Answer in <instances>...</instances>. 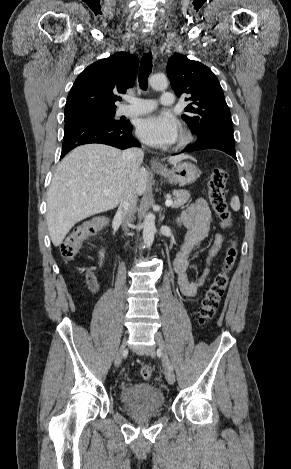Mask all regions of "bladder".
<instances>
[{
  "mask_svg": "<svg viewBox=\"0 0 291 469\" xmlns=\"http://www.w3.org/2000/svg\"><path fill=\"white\" fill-rule=\"evenodd\" d=\"M119 399L125 408L136 412H156L165 404L161 390L148 383H135L123 388Z\"/></svg>",
  "mask_w": 291,
  "mask_h": 469,
  "instance_id": "1",
  "label": "bladder"
}]
</instances>
